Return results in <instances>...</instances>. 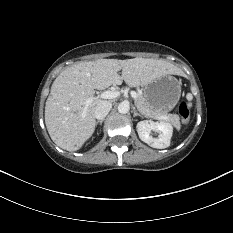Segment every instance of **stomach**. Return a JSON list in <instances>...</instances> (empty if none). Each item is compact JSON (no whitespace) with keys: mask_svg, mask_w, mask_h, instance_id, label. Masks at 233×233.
<instances>
[{"mask_svg":"<svg viewBox=\"0 0 233 233\" xmlns=\"http://www.w3.org/2000/svg\"><path fill=\"white\" fill-rule=\"evenodd\" d=\"M143 95L152 109L168 113L180 99L181 86L175 77L165 75L147 83Z\"/></svg>","mask_w":233,"mask_h":233,"instance_id":"0dacf381","label":"stomach"}]
</instances>
